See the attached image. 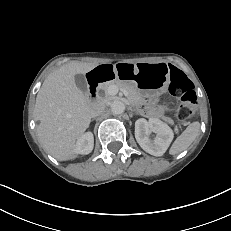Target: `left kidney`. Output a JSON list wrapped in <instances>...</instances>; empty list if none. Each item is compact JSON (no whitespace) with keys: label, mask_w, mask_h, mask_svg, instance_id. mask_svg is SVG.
<instances>
[{"label":"left kidney","mask_w":231,"mask_h":231,"mask_svg":"<svg viewBox=\"0 0 231 231\" xmlns=\"http://www.w3.org/2000/svg\"><path fill=\"white\" fill-rule=\"evenodd\" d=\"M151 132L156 134L154 140L149 137ZM173 136L171 128L159 119L150 118L147 121L140 118L135 122V138L140 147L151 155L162 156L172 142Z\"/></svg>","instance_id":"5707ae66"}]
</instances>
